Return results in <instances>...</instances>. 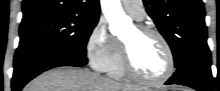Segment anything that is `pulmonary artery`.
<instances>
[{
    "mask_svg": "<svg viewBox=\"0 0 220 91\" xmlns=\"http://www.w3.org/2000/svg\"><path fill=\"white\" fill-rule=\"evenodd\" d=\"M122 6L124 10L132 16L135 20L141 21L145 17V11L143 8L142 1L140 0H133V1H128V0H123Z\"/></svg>",
    "mask_w": 220,
    "mask_h": 91,
    "instance_id": "1",
    "label": "pulmonary artery"
}]
</instances>
